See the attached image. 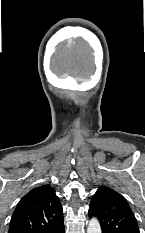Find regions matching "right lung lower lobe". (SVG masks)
I'll use <instances>...</instances> for the list:
<instances>
[{"instance_id": "obj_1", "label": "right lung lower lobe", "mask_w": 145, "mask_h": 233, "mask_svg": "<svg viewBox=\"0 0 145 233\" xmlns=\"http://www.w3.org/2000/svg\"><path fill=\"white\" fill-rule=\"evenodd\" d=\"M52 233H64V222L61 223L58 227H56Z\"/></svg>"}]
</instances>
